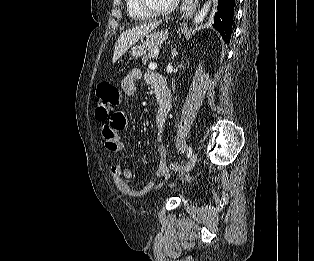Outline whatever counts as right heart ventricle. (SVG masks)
<instances>
[{
  "label": "right heart ventricle",
  "mask_w": 314,
  "mask_h": 261,
  "mask_svg": "<svg viewBox=\"0 0 314 261\" xmlns=\"http://www.w3.org/2000/svg\"><path fill=\"white\" fill-rule=\"evenodd\" d=\"M126 9L129 16L134 20L143 21L150 18L149 14L140 9L137 0H126Z\"/></svg>",
  "instance_id": "obj_1"
}]
</instances>
